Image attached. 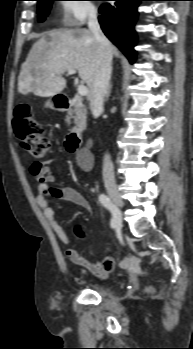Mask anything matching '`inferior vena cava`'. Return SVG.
Masks as SVG:
<instances>
[{
	"label": "inferior vena cava",
	"instance_id": "inferior-vena-cava-1",
	"mask_svg": "<svg viewBox=\"0 0 193 349\" xmlns=\"http://www.w3.org/2000/svg\"><path fill=\"white\" fill-rule=\"evenodd\" d=\"M88 28L99 43V55L96 63L90 108L93 114H101L104 110V98L107 94L111 77L112 51L109 40L100 28L95 10L89 11ZM103 181L105 185L115 184L114 166L109 154H105L103 158Z\"/></svg>",
	"mask_w": 193,
	"mask_h": 349
}]
</instances>
